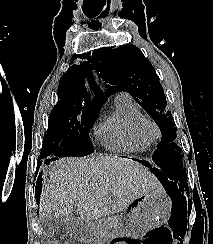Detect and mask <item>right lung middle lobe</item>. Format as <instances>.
Listing matches in <instances>:
<instances>
[{
	"mask_svg": "<svg viewBox=\"0 0 213 244\" xmlns=\"http://www.w3.org/2000/svg\"><path fill=\"white\" fill-rule=\"evenodd\" d=\"M99 111L85 106L54 108L40 156H85L92 153L94 147L88 134Z\"/></svg>",
	"mask_w": 213,
	"mask_h": 244,
	"instance_id": "right-lung-middle-lobe-1",
	"label": "right lung middle lobe"
}]
</instances>
